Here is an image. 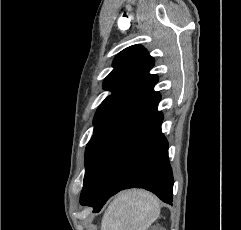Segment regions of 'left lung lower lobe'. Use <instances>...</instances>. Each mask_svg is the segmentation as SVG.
<instances>
[{"label":"left lung lower lobe","instance_id":"left-lung-lower-lobe-1","mask_svg":"<svg viewBox=\"0 0 241 230\" xmlns=\"http://www.w3.org/2000/svg\"><path fill=\"white\" fill-rule=\"evenodd\" d=\"M160 94L135 119L111 137L90 161L80 203L101 210L122 189L137 187L172 202L173 175L168 142L161 133L163 114L157 111Z\"/></svg>","mask_w":241,"mask_h":230}]
</instances>
